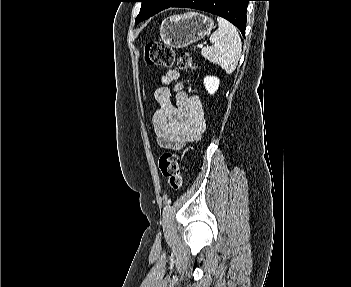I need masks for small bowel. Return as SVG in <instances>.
Instances as JSON below:
<instances>
[{
    "label": "small bowel",
    "mask_w": 351,
    "mask_h": 287,
    "mask_svg": "<svg viewBox=\"0 0 351 287\" xmlns=\"http://www.w3.org/2000/svg\"><path fill=\"white\" fill-rule=\"evenodd\" d=\"M178 78L176 70H169L161 78L162 85L154 91L157 108L152 123L157 141L164 149H180L184 143L196 140L205 128V113L199 96L186 94L178 84L173 103L168 85Z\"/></svg>",
    "instance_id": "c3829d8e"
}]
</instances>
